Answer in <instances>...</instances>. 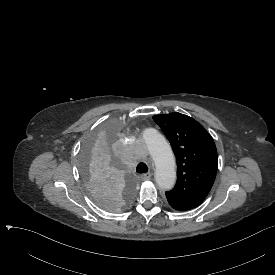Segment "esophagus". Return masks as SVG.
I'll return each mask as SVG.
<instances>
[{
  "instance_id": "1",
  "label": "esophagus",
  "mask_w": 275,
  "mask_h": 275,
  "mask_svg": "<svg viewBox=\"0 0 275 275\" xmlns=\"http://www.w3.org/2000/svg\"><path fill=\"white\" fill-rule=\"evenodd\" d=\"M140 178L144 181L150 180L151 179V174L150 173H144L140 175Z\"/></svg>"
}]
</instances>
